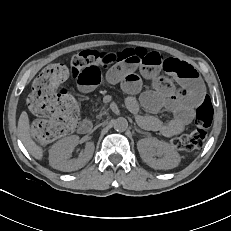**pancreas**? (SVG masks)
<instances>
[{
	"instance_id": "obj_1",
	"label": "pancreas",
	"mask_w": 231,
	"mask_h": 231,
	"mask_svg": "<svg viewBox=\"0 0 231 231\" xmlns=\"http://www.w3.org/2000/svg\"><path fill=\"white\" fill-rule=\"evenodd\" d=\"M103 115H104V112H101V113L98 115V118H101Z\"/></svg>"
}]
</instances>
